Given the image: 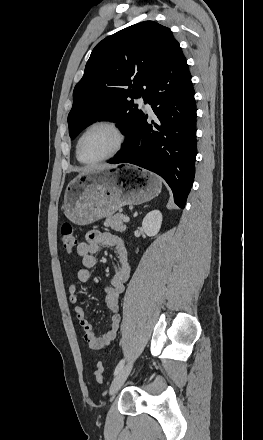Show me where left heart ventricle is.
Listing matches in <instances>:
<instances>
[{"instance_id":"obj_1","label":"left heart ventricle","mask_w":263,"mask_h":440,"mask_svg":"<svg viewBox=\"0 0 263 440\" xmlns=\"http://www.w3.org/2000/svg\"><path fill=\"white\" fill-rule=\"evenodd\" d=\"M117 140L116 133L110 127H94L84 136L81 142V158L86 161L100 159L113 151Z\"/></svg>"}]
</instances>
